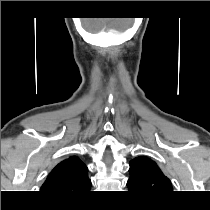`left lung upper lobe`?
I'll use <instances>...</instances> for the list:
<instances>
[{
    "instance_id": "5c2ea615",
    "label": "left lung upper lobe",
    "mask_w": 210,
    "mask_h": 210,
    "mask_svg": "<svg viewBox=\"0 0 210 210\" xmlns=\"http://www.w3.org/2000/svg\"><path fill=\"white\" fill-rule=\"evenodd\" d=\"M130 179L127 182L130 191L149 196H161L172 192L170 180L157 164L146 156L134 158L130 163Z\"/></svg>"
}]
</instances>
